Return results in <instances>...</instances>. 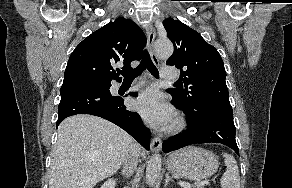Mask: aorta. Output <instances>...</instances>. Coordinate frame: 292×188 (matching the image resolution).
I'll return each instance as SVG.
<instances>
[{"label": "aorta", "mask_w": 292, "mask_h": 188, "mask_svg": "<svg viewBox=\"0 0 292 188\" xmlns=\"http://www.w3.org/2000/svg\"><path fill=\"white\" fill-rule=\"evenodd\" d=\"M156 55L160 59H168L173 53V44L168 39H158L154 45ZM162 159L159 154L153 155L146 167V181L149 185H154L161 173Z\"/></svg>", "instance_id": "1"}]
</instances>
